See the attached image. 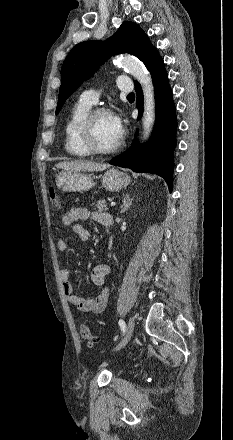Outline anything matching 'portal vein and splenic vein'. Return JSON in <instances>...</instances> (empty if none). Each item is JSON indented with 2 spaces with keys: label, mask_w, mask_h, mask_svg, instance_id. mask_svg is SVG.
<instances>
[{
  "label": "portal vein and splenic vein",
  "mask_w": 233,
  "mask_h": 440,
  "mask_svg": "<svg viewBox=\"0 0 233 440\" xmlns=\"http://www.w3.org/2000/svg\"><path fill=\"white\" fill-rule=\"evenodd\" d=\"M110 205H111V206H115L116 203H115V202H111Z\"/></svg>",
  "instance_id": "obj_1"
}]
</instances>
